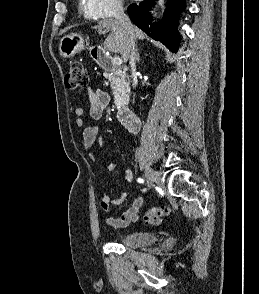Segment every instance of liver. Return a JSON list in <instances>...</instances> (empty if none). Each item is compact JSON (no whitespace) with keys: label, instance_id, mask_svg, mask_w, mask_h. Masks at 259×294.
<instances>
[{"label":"liver","instance_id":"6515ba94","mask_svg":"<svg viewBox=\"0 0 259 294\" xmlns=\"http://www.w3.org/2000/svg\"><path fill=\"white\" fill-rule=\"evenodd\" d=\"M99 34L110 32L104 42V50L119 53L124 62L129 60L127 38L124 30L116 19H104L94 27ZM135 39H145V34L134 26Z\"/></svg>","mask_w":259,"mask_h":294}]
</instances>
